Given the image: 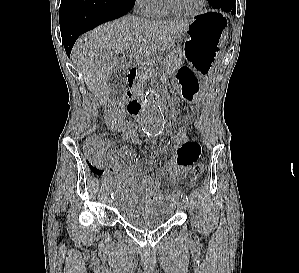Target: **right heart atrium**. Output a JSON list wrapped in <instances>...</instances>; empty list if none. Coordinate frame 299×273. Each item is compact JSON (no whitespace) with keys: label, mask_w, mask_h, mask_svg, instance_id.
Listing matches in <instances>:
<instances>
[{"label":"right heart atrium","mask_w":299,"mask_h":273,"mask_svg":"<svg viewBox=\"0 0 299 273\" xmlns=\"http://www.w3.org/2000/svg\"><path fill=\"white\" fill-rule=\"evenodd\" d=\"M161 0H135L137 8L148 14Z\"/></svg>","instance_id":"obj_1"}]
</instances>
